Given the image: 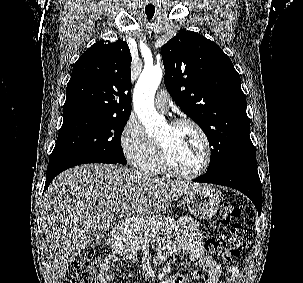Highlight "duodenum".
<instances>
[{
	"label": "duodenum",
	"mask_w": 303,
	"mask_h": 283,
	"mask_svg": "<svg viewBox=\"0 0 303 283\" xmlns=\"http://www.w3.org/2000/svg\"><path fill=\"white\" fill-rule=\"evenodd\" d=\"M126 223L121 222L115 226V228L111 232V241L114 242L120 239L125 232Z\"/></svg>",
	"instance_id": "1"
}]
</instances>
